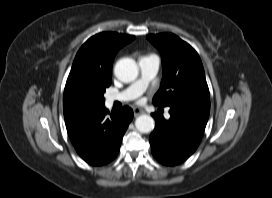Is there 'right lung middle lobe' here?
I'll list each match as a JSON object with an SVG mask.
<instances>
[{
	"instance_id": "1",
	"label": "right lung middle lobe",
	"mask_w": 272,
	"mask_h": 198,
	"mask_svg": "<svg viewBox=\"0 0 272 198\" xmlns=\"http://www.w3.org/2000/svg\"><path fill=\"white\" fill-rule=\"evenodd\" d=\"M105 90H106V88H103L102 90H101V92H100V105H101V107H103L104 106V102H105V99L103 98V94H104V92H105Z\"/></svg>"
}]
</instances>
